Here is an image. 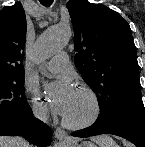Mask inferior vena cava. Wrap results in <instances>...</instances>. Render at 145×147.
<instances>
[{"mask_svg": "<svg viewBox=\"0 0 145 147\" xmlns=\"http://www.w3.org/2000/svg\"><path fill=\"white\" fill-rule=\"evenodd\" d=\"M35 116L37 118L41 119L42 121H45L47 118V112L44 110H42V111L37 110V111H35Z\"/></svg>", "mask_w": 145, "mask_h": 147, "instance_id": "inferior-vena-cava-1", "label": "inferior vena cava"}]
</instances>
